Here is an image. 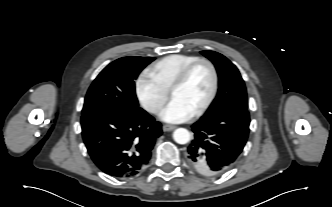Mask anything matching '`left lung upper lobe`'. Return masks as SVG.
Listing matches in <instances>:
<instances>
[{
  "label": "left lung upper lobe",
  "instance_id": "left-lung-upper-lobe-1",
  "mask_svg": "<svg viewBox=\"0 0 332 207\" xmlns=\"http://www.w3.org/2000/svg\"><path fill=\"white\" fill-rule=\"evenodd\" d=\"M201 53L213 62L219 77L217 96L202 118L231 108L247 109L246 87L236 66L217 52L201 51Z\"/></svg>",
  "mask_w": 332,
  "mask_h": 207
}]
</instances>
